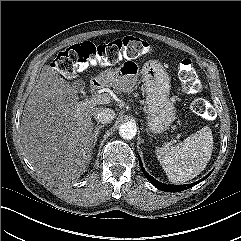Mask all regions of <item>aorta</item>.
<instances>
[{
	"mask_svg": "<svg viewBox=\"0 0 241 241\" xmlns=\"http://www.w3.org/2000/svg\"><path fill=\"white\" fill-rule=\"evenodd\" d=\"M136 132H137L136 125L132 122L123 123L119 127V135L123 139H127V140L132 139L136 135Z\"/></svg>",
	"mask_w": 241,
	"mask_h": 241,
	"instance_id": "aorta-1",
	"label": "aorta"
}]
</instances>
